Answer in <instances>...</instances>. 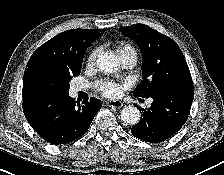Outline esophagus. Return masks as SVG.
<instances>
[{
	"instance_id": "obj_1",
	"label": "esophagus",
	"mask_w": 224,
	"mask_h": 175,
	"mask_svg": "<svg viewBox=\"0 0 224 175\" xmlns=\"http://www.w3.org/2000/svg\"><path fill=\"white\" fill-rule=\"evenodd\" d=\"M107 105L109 107H112V108H121L123 107V103L121 101H118V100H110V101H107Z\"/></svg>"
}]
</instances>
